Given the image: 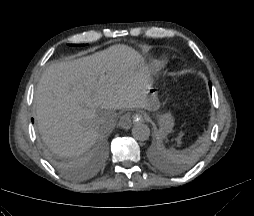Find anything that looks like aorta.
<instances>
[{
	"label": "aorta",
	"instance_id": "aorta-1",
	"mask_svg": "<svg viewBox=\"0 0 254 216\" xmlns=\"http://www.w3.org/2000/svg\"><path fill=\"white\" fill-rule=\"evenodd\" d=\"M132 135L136 140L145 141L150 136V128L144 123L137 122L132 128Z\"/></svg>",
	"mask_w": 254,
	"mask_h": 216
}]
</instances>
